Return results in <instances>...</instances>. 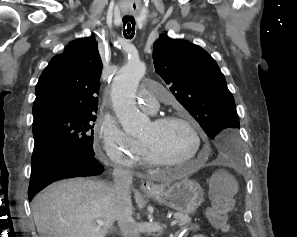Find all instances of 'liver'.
I'll list each match as a JSON object with an SVG mask.
<instances>
[{
	"label": "liver",
	"mask_w": 297,
	"mask_h": 237,
	"mask_svg": "<svg viewBox=\"0 0 297 237\" xmlns=\"http://www.w3.org/2000/svg\"><path fill=\"white\" fill-rule=\"evenodd\" d=\"M32 214L40 237H105L121 216L112 186L85 178L48 186L34 198ZM97 220L106 225L98 228Z\"/></svg>",
	"instance_id": "1"
}]
</instances>
